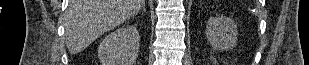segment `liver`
<instances>
[{"label":"liver","mask_w":309,"mask_h":65,"mask_svg":"<svg viewBox=\"0 0 309 65\" xmlns=\"http://www.w3.org/2000/svg\"><path fill=\"white\" fill-rule=\"evenodd\" d=\"M144 6L145 0H70L65 13V42L69 52L84 50Z\"/></svg>","instance_id":"6515ba94"}]
</instances>
